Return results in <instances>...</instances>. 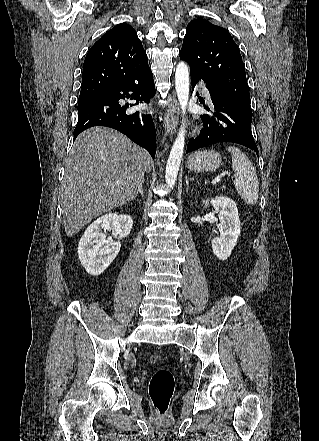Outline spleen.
I'll use <instances>...</instances> for the list:
<instances>
[{
  "mask_svg": "<svg viewBox=\"0 0 319 441\" xmlns=\"http://www.w3.org/2000/svg\"><path fill=\"white\" fill-rule=\"evenodd\" d=\"M232 169L235 172L234 185L241 198L249 205H255L259 194V180L255 168L247 155L235 146H229Z\"/></svg>",
  "mask_w": 319,
  "mask_h": 441,
  "instance_id": "1",
  "label": "spleen"
}]
</instances>
